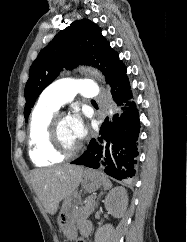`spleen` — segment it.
Returning <instances> with one entry per match:
<instances>
[{
    "instance_id": "obj_1",
    "label": "spleen",
    "mask_w": 187,
    "mask_h": 242,
    "mask_svg": "<svg viewBox=\"0 0 187 242\" xmlns=\"http://www.w3.org/2000/svg\"><path fill=\"white\" fill-rule=\"evenodd\" d=\"M102 177H103V187H104V189L109 190L110 188H112L111 181L105 175H102Z\"/></svg>"
}]
</instances>
